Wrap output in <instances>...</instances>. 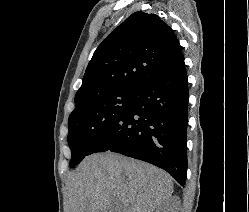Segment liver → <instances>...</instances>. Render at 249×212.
Returning <instances> with one entry per match:
<instances>
[{
  "label": "liver",
  "mask_w": 249,
  "mask_h": 212,
  "mask_svg": "<svg viewBox=\"0 0 249 212\" xmlns=\"http://www.w3.org/2000/svg\"><path fill=\"white\" fill-rule=\"evenodd\" d=\"M171 176L151 164L105 152L86 156L67 182V212L169 210Z\"/></svg>",
  "instance_id": "obj_1"
}]
</instances>
